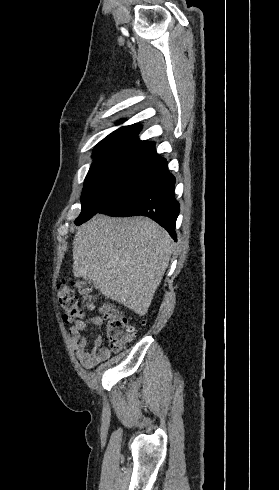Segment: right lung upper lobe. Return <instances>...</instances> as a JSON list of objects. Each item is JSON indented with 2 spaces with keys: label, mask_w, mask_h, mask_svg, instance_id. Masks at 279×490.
Wrapping results in <instances>:
<instances>
[{
  "label": "right lung upper lobe",
  "mask_w": 279,
  "mask_h": 490,
  "mask_svg": "<svg viewBox=\"0 0 279 490\" xmlns=\"http://www.w3.org/2000/svg\"><path fill=\"white\" fill-rule=\"evenodd\" d=\"M121 123V122H119ZM139 125L125 126L109 134L97 144L93 151V164L128 161L142 164H160L165 159L155 150V143L141 141Z\"/></svg>",
  "instance_id": "cb5924a9"
}]
</instances>
